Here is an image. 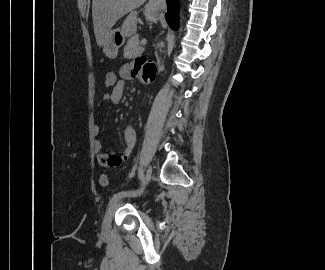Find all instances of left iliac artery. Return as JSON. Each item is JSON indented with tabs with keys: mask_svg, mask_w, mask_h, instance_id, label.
Wrapping results in <instances>:
<instances>
[{
	"mask_svg": "<svg viewBox=\"0 0 325 270\" xmlns=\"http://www.w3.org/2000/svg\"><path fill=\"white\" fill-rule=\"evenodd\" d=\"M139 178L143 182L144 180V173L142 168L139 169ZM141 193V189L130 190V191H121L113 195V197L109 201V206L117 199L122 197H129V196H136Z\"/></svg>",
	"mask_w": 325,
	"mask_h": 270,
	"instance_id": "left-iliac-artery-1",
	"label": "left iliac artery"
}]
</instances>
